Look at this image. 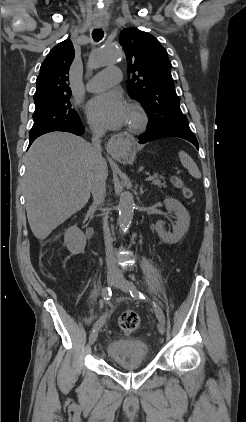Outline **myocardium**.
<instances>
[{
    "mask_svg": "<svg viewBox=\"0 0 246 422\" xmlns=\"http://www.w3.org/2000/svg\"><path fill=\"white\" fill-rule=\"evenodd\" d=\"M131 120L128 124V130L133 133H138L146 129L149 119L144 108L138 104H133L130 107Z\"/></svg>",
    "mask_w": 246,
    "mask_h": 422,
    "instance_id": "obj_1",
    "label": "myocardium"
}]
</instances>
